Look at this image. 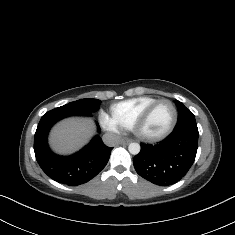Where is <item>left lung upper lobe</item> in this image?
Returning <instances> with one entry per match:
<instances>
[{
    "mask_svg": "<svg viewBox=\"0 0 235 235\" xmlns=\"http://www.w3.org/2000/svg\"><path fill=\"white\" fill-rule=\"evenodd\" d=\"M174 102L179 111L178 122L174 128V131L180 129H191L198 131L194 114L180 101L175 100Z\"/></svg>",
    "mask_w": 235,
    "mask_h": 235,
    "instance_id": "obj_1",
    "label": "left lung upper lobe"
}]
</instances>
